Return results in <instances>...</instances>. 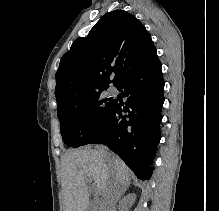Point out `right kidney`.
Wrapping results in <instances>:
<instances>
[{
	"mask_svg": "<svg viewBox=\"0 0 219 211\" xmlns=\"http://www.w3.org/2000/svg\"><path fill=\"white\" fill-rule=\"evenodd\" d=\"M132 201H133V199H131V197H130V199H129V203H130V205H131Z\"/></svg>",
	"mask_w": 219,
	"mask_h": 211,
	"instance_id": "ca27d5eb",
	"label": "right kidney"
}]
</instances>
